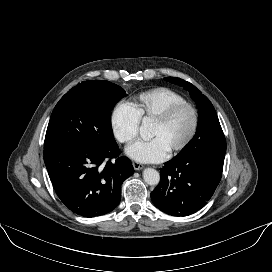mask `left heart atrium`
Instances as JSON below:
<instances>
[{
	"label": "left heart atrium",
	"mask_w": 272,
	"mask_h": 272,
	"mask_svg": "<svg viewBox=\"0 0 272 272\" xmlns=\"http://www.w3.org/2000/svg\"><path fill=\"white\" fill-rule=\"evenodd\" d=\"M126 154L138 162L156 163L166 158L168 150L160 138L154 137L150 140L135 141L127 147Z\"/></svg>",
	"instance_id": "left-heart-atrium-1"
}]
</instances>
